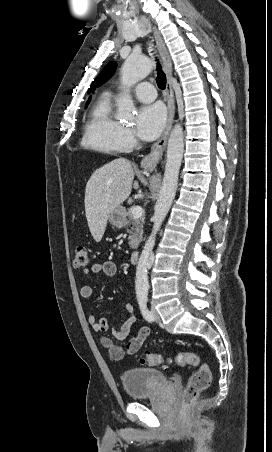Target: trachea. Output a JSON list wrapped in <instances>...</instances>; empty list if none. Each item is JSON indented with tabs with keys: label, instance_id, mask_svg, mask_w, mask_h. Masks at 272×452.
<instances>
[{
	"label": "trachea",
	"instance_id": "trachea-1",
	"mask_svg": "<svg viewBox=\"0 0 272 452\" xmlns=\"http://www.w3.org/2000/svg\"><path fill=\"white\" fill-rule=\"evenodd\" d=\"M157 85L160 89H165L166 87V75L162 71L161 65L158 62L157 63V79H156Z\"/></svg>",
	"mask_w": 272,
	"mask_h": 452
}]
</instances>
